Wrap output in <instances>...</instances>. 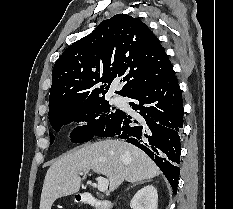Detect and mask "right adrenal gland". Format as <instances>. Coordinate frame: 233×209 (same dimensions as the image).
Instances as JSON below:
<instances>
[{
    "label": "right adrenal gland",
    "mask_w": 233,
    "mask_h": 209,
    "mask_svg": "<svg viewBox=\"0 0 233 209\" xmlns=\"http://www.w3.org/2000/svg\"><path fill=\"white\" fill-rule=\"evenodd\" d=\"M145 182H148V180L140 181V182H138V183H135V184H133V186H131V188L134 187V186H136V185H138V184H143V183H145ZM129 189H130V188H128L127 190H129Z\"/></svg>",
    "instance_id": "2a0ac1e0"
}]
</instances>
